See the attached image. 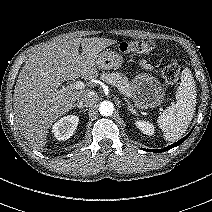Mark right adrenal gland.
<instances>
[{"mask_svg": "<svg viewBox=\"0 0 212 212\" xmlns=\"http://www.w3.org/2000/svg\"><path fill=\"white\" fill-rule=\"evenodd\" d=\"M74 107H78V108H80V109H84V108H85L84 106H82V105H80V104H75Z\"/></svg>", "mask_w": 212, "mask_h": 212, "instance_id": "obj_1", "label": "right adrenal gland"}]
</instances>
